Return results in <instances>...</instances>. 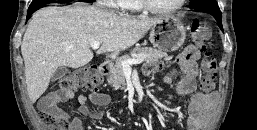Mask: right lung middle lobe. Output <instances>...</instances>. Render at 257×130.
Wrapping results in <instances>:
<instances>
[{
    "mask_svg": "<svg viewBox=\"0 0 257 130\" xmlns=\"http://www.w3.org/2000/svg\"><path fill=\"white\" fill-rule=\"evenodd\" d=\"M48 3H54L53 1H49V0H33L28 12L32 13L34 12L36 9L40 8L41 6L48 4ZM56 3H61V2H56Z\"/></svg>",
    "mask_w": 257,
    "mask_h": 130,
    "instance_id": "1",
    "label": "right lung middle lobe"
}]
</instances>
